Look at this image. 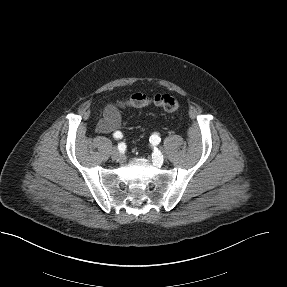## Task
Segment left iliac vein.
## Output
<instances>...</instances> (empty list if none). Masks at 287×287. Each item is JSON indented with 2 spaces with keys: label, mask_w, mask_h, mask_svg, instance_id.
Here are the masks:
<instances>
[{
  "label": "left iliac vein",
  "mask_w": 287,
  "mask_h": 287,
  "mask_svg": "<svg viewBox=\"0 0 287 287\" xmlns=\"http://www.w3.org/2000/svg\"><path fill=\"white\" fill-rule=\"evenodd\" d=\"M165 159V156L163 154H157L154 158V162L157 166L161 165Z\"/></svg>",
  "instance_id": "4c4485c4"
}]
</instances>
